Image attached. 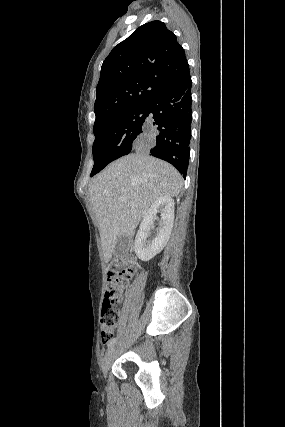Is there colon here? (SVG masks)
I'll list each match as a JSON object with an SVG mask.
<instances>
[{
  "label": "colon",
  "mask_w": 285,
  "mask_h": 427,
  "mask_svg": "<svg viewBox=\"0 0 285 427\" xmlns=\"http://www.w3.org/2000/svg\"><path fill=\"white\" fill-rule=\"evenodd\" d=\"M135 272V264L131 258L119 257L108 270V280L102 305L101 339L108 341L114 335L120 320L118 305L123 299V293Z\"/></svg>",
  "instance_id": "5ec220e1"
}]
</instances>
